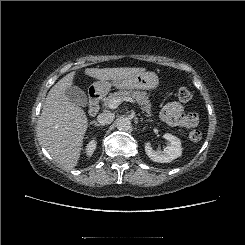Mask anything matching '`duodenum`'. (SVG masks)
Wrapping results in <instances>:
<instances>
[{
	"label": "duodenum",
	"instance_id": "obj_1",
	"mask_svg": "<svg viewBox=\"0 0 245 245\" xmlns=\"http://www.w3.org/2000/svg\"><path fill=\"white\" fill-rule=\"evenodd\" d=\"M101 95L98 91H92L89 95V113L96 116L100 109Z\"/></svg>",
	"mask_w": 245,
	"mask_h": 245
}]
</instances>
